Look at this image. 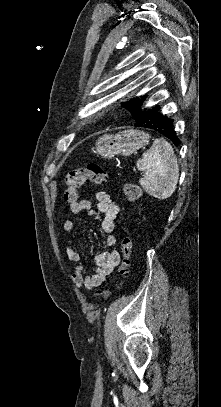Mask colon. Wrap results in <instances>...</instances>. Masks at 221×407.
Here are the masks:
<instances>
[{
	"label": "colon",
	"instance_id": "colon-1",
	"mask_svg": "<svg viewBox=\"0 0 221 407\" xmlns=\"http://www.w3.org/2000/svg\"><path fill=\"white\" fill-rule=\"evenodd\" d=\"M109 174L104 167L96 162H90L85 167L75 168L71 170L65 178L64 202L68 205L76 204L80 201V188L86 181L95 184H102L109 181ZM123 192L129 201H137L141 197V188L134 183H125ZM131 238L125 236L121 240V253L116 265L119 267V273L122 276L128 274L131 263ZM122 286V282L118 281L117 288ZM110 290H98V297L107 298L110 295Z\"/></svg>",
	"mask_w": 221,
	"mask_h": 407
}]
</instances>
